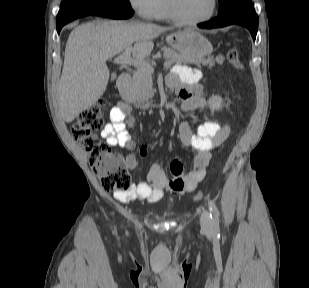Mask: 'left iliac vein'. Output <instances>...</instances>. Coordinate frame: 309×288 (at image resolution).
I'll return each mask as SVG.
<instances>
[{
    "mask_svg": "<svg viewBox=\"0 0 309 288\" xmlns=\"http://www.w3.org/2000/svg\"><path fill=\"white\" fill-rule=\"evenodd\" d=\"M200 221H201V227L203 231L209 233L211 230V221H210L208 211H204L202 213Z\"/></svg>",
    "mask_w": 309,
    "mask_h": 288,
    "instance_id": "obj_1",
    "label": "left iliac vein"
}]
</instances>
